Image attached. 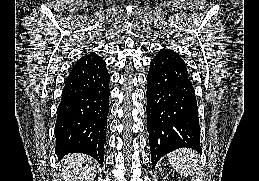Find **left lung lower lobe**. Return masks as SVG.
Wrapping results in <instances>:
<instances>
[{"mask_svg": "<svg viewBox=\"0 0 259 181\" xmlns=\"http://www.w3.org/2000/svg\"><path fill=\"white\" fill-rule=\"evenodd\" d=\"M147 129L153 166L167 153L189 147L201 153L195 91L178 53L163 48L147 75Z\"/></svg>", "mask_w": 259, "mask_h": 181, "instance_id": "1", "label": "left lung lower lobe"}]
</instances>
